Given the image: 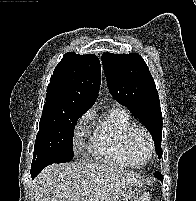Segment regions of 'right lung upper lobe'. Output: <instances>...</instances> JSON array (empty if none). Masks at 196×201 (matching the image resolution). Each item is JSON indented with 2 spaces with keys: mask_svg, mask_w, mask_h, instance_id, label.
<instances>
[{
  "mask_svg": "<svg viewBox=\"0 0 196 201\" xmlns=\"http://www.w3.org/2000/svg\"><path fill=\"white\" fill-rule=\"evenodd\" d=\"M100 81L101 66L96 55L66 53L51 76L42 115L87 111L97 98Z\"/></svg>",
  "mask_w": 196,
  "mask_h": 201,
  "instance_id": "1",
  "label": "right lung upper lobe"
}]
</instances>
